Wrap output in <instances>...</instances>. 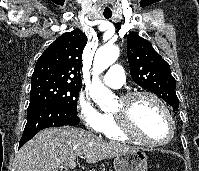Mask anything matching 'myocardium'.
I'll return each instance as SVG.
<instances>
[{
    "mask_svg": "<svg viewBox=\"0 0 199 171\" xmlns=\"http://www.w3.org/2000/svg\"><path fill=\"white\" fill-rule=\"evenodd\" d=\"M139 97H148L155 101L164 111L168 118L170 125V135L165 141H154L138 132L134 126L132 115H131V105L133 101ZM113 116L116 120L119 130L138 142L150 145V146H165L172 142L176 134V125L173 115L167 106V104L155 93L148 90H133L124 94L120 98V108L114 111Z\"/></svg>",
    "mask_w": 199,
    "mask_h": 171,
    "instance_id": "obj_1",
    "label": "myocardium"
}]
</instances>
